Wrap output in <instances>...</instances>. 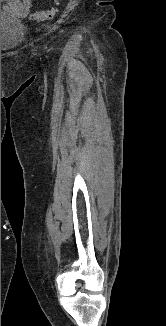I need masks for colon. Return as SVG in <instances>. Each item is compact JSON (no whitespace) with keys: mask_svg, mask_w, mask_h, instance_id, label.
I'll return each mask as SVG.
<instances>
[{"mask_svg":"<svg viewBox=\"0 0 166 326\" xmlns=\"http://www.w3.org/2000/svg\"><path fill=\"white\" fill-rule=\"evenodd\" d=\"M57 5H58V0H55L53 6H51L50 8L33 13L31 15V19L34 21L52 20L57 14Z\"/></svg>","mask_w":166,"mask_h":326,"instance_id":"5ec220e1","label":"colon"}]
</instances>
